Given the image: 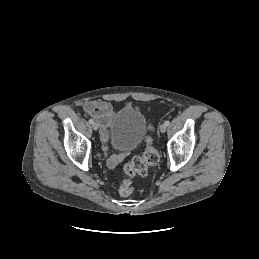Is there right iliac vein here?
<instances>
[{"instance_id": "1", "label": "right iliac vein", "mask_w": 259, "mask_h": 259, "mask_svg": "<svg viewBox=\"0 0 259 259\" xmlns=\"http://www.w3.org/2000/svg\"><path fill=\"white\" fill-rule=\"evenodd\" d=\"M92 127L95 131L99 129V125L95 122L92 124Z\"/></svg>"}]
</instances>
